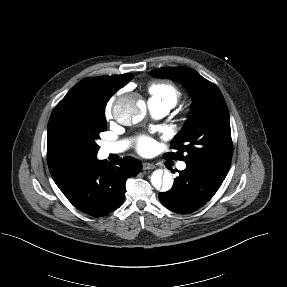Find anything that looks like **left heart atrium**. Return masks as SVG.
Segmentation results:
<instances>
[{
	"instance_id": "obj_1",
	"label": "left heart atrium",
	"mask_w": 287,
	"mask_h": 287,
	"mask_svg": "<svg viewBox=\"0 0 287 287\" xmlns=\"http://www.w3.org/2000/svg\"><path fill=\"white\" fill-rule=\"evenodd\" d=\"M154 146L155 143L151 138L143 136L138 141L137 150L141 154H148L153 150Z\"/></svg>"
}]
</instances>
